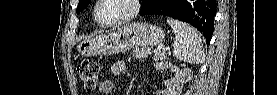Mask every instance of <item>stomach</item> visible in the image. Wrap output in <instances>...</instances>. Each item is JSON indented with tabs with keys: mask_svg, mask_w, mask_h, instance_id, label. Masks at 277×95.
<instances>
[{
	"mask_svg": "<svg viewBox=\"0 0 277 95\" xmlns=\"http://www.w3.org/2000/svg\"><path fill=\"white\" fill-rule=\"evenodd\" d=\"M163 30L148 23H131L80 42L82 57L112 55L127 52L134 47H153L164 41Z\"/></svg>",
	"mask_w": 277,
	"mask_h": 95,
	"instance_id": "obj_1",
	"label": "stomach"
}]
</instances>
